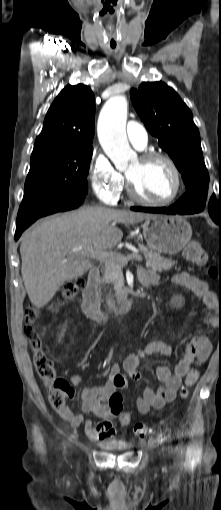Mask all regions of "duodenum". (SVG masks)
Instances as JSON below:
<instances>
[{
	"instance_id": "1",
	"label": "duodenum",
	"mask_w": 221,
	"mask_h": 510,
	"mask_svg": "<svg viewBox=\"0 0 221 510\" xmlns=\"http://www.w3.org/2000/svg\"><path fill=\"white\" fill-rule=\"evenodd\" d=\"M100 271L98 268H92L88 275L87 285L83 292V310L86 316L95 321L103 322L106 316L99 310L100 292H99ZM113 308L116 312H128L134 306V301L130 295H122L113 300Z\"/></svg>"
}]
</instances>
